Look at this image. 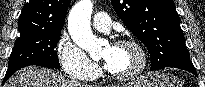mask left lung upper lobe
<instances>
[{"label":"left lung upper lobe","mask_w":205,"mask_h":87,"mask_svg":"<svg viewBox=\"0 0 205 87\" xmlns=\"http://www.w3.org/2000/svg\"><path fill=\"white\" fill-rule=\"evenodd\" d=\"M111 3L119 18L149 49L150 70L190 60L173 0H111Z\"/></svg>","instance_id":"1"}]
</instances>
